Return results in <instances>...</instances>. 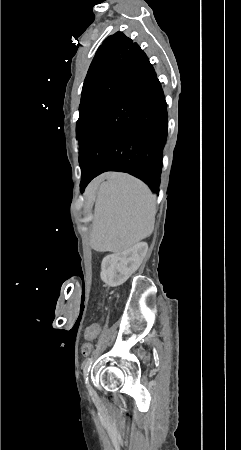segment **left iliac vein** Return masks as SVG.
I'll list each match as a JSON object with an SVG mask.
<instances>
[{"label":"left iliac vein","instance_id":"1","mask_svg":"<svg viewBox=\"0 0 241 450\" xmlns=\"http://www.w3.org/2000/svg\"><path fill=\"white\" fill-rule=\"evenodd\" d=\"M88 389H89L90 392H92V390H91V388L89 386H88Z\"/></svg>","mask_w":241,"mask_h":450}]
</instances>
